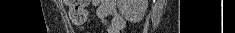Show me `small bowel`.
Returning a JSON list of instances; mask_svg holds the SVG:
<instances>
[{"instance_id":"c3829d8e","label":"small bowel","mask_w":235,"mask_h":33,"mask_svg":"<svg viewBox=\"0 0 235 33\" xmlns=\"http://www.w3.org/2000/svg\"><path fill=\"white\" fill-rule=\"evenodd\" d=\"M92 5L96 8V17L105 23L108 33H121L125 28V20L117 10L115 0H93Z\"/></svg>"}]
</instances>
